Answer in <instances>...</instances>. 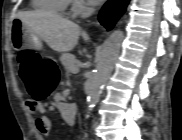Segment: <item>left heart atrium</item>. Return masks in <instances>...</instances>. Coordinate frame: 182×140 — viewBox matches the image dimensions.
<instances>
[{
  "mask_svg": "<svg viewBox=\"0 0 182 140\" xmlns=\"http://www.w3.org/2000/svg\"><path fill=\"white\" fill-rule=\"evenodd\" d=\"M99 0H94V2H98Z\"/></svg>",
  "mask_w": 182,
  "mask_h": 140,
  "instance_id": "39dd6f15",
  "label": "left heart atrium"
}]
</instances>
